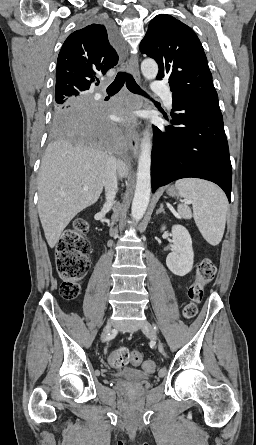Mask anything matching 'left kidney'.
<instances>
[{
  "instance_id": "1",
  "label": "left kidney",
  "mask_w": 256,
  "mask_h": 445,
  "mask_svg": "<svg viewBox=\"0 0 256 445\" xmlns=\"http://www.w3.org/2000/svg\"><path fill=\"white\" fill-rule=\"evenodd\" d=\"M162 227V231L165 230ZM172 237L175 249L166 258L167 267L178 276H185L193 267L194 252L192 239L188 230L182 225L172 226Z\"/></svg>"
}]
</instances>
